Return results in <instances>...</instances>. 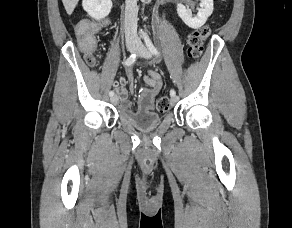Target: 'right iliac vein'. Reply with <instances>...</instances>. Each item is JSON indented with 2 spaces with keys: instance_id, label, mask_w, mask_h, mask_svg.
Instances as JSON below:
<instances>
[{
  "instance_id": "right-iliac-vein-1",
  "label": "right iliac vein",
  "mask_w": 292,
  "mask_h": 228,
  "mask_svg": "<svg viewBox=\"0 0 292 228\" xmlns=\"http://www.w3.org/2000/svg\"><path fill=\"white\" fill-rule=\"evenodd\" d=\"M127 49L129 52H134L136 49V43L133 41H128L127 42ZM110 100L113 104H116L118 101V97L116 95L112 96Z\"/></svg>"
}]
</instances>
